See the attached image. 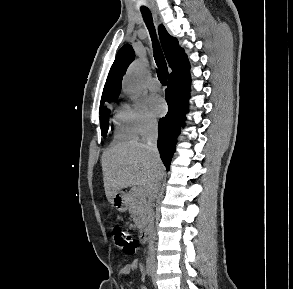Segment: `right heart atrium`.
<instances>
[{"mask_svg": "<svg viewBox=\"0 0 293 289\" xmlns=\"http://www.w3.org/2000/svg\"><path fill=\"white\" fill-rule=\"evenodd\" d=\"M127 109L137 136H146L157 128V120L143 100L132 102Z\"/></svg>", "mask_w": 293, "mask_h": 289, "instance_id": "d8ad5b80", "label": "right heart atrium"}]
</instances>
